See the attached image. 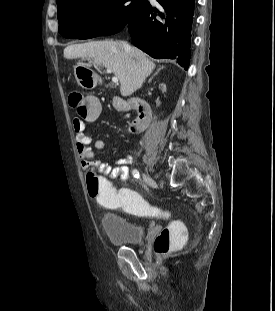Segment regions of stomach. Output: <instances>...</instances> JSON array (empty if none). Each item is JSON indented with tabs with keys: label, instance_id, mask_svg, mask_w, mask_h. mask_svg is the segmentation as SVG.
Instances as JSON below:
<instances>
[{
	"label": "stomach",
	"instance_id": "stomach-1",
	"mask_svg": "<svg viewBox=\"0 0 275 311\" xmlns=\"http://www.w3.org/2000/svg\"><path fill=\"white\" fill-rule=\"evenodd\" d=\"M77 83L83 88H93L97 85L98 77L91 69L85 66H77L74 69Z\"/></svg>",
	"mask_w": 275,
	"mask_h": 311
}]
</instances>
